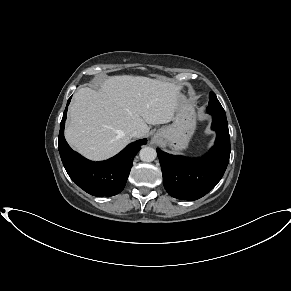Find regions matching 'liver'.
I'll return each instance as SVG.
<instances>
[{
  "label": "liver",
  "mask_w": 291,
  "mask_h": 291,
  "mask_svg": "<svg viewBox=\"0 0 291 291\" xmlns=\"http://www.w3.org/2000/svg\"><path fill=\"white\" fill-rule=\"evenodd\" d=\"M181 86L140 76H111L101 90L79 89L69 108L67 142L91 160H103L120 152L130 133L148 134L147 124L173 120Z\"/></svg>",
  "instance_id": "1"
}]
</instances>
